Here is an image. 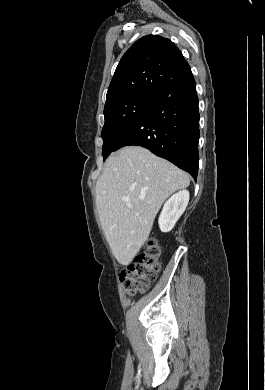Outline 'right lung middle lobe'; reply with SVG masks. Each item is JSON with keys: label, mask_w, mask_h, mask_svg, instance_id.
<instances>
[{"label": "right lung middle lobe", "mask_w": 265, "mask_h": 390, "mask_svg": "<svg viewBox=\"0 0 265 390\" xmlns=\"http://www.w3.org/2000/svg\"><path fill=\"white\" fill-rule=\"evenodd\" d=\"M156 96L137 94L116 101L104 108L105 124L102 129L103 157L109 156L134 120L149 106Z\"/></svg>", "instance_id": "obj_1"}]
</instances>
